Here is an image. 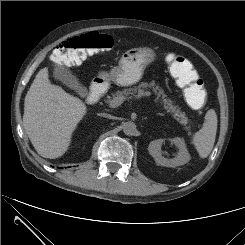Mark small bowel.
<instances>
[{"label":"small bowel","instance_id":"c3829d8e","mask_svg":"<svg viewBox=\"0 0 245 245\" xmlns=\"http://www.w3.org/2000/svg\"><path fill=\"white\" fill-rule=\"evenodd\" d=\"M170 56L171 55L168 56V60H169ZM184 59L186 61V64H185V67H184V70H183L184 74L185 75H191L194 78H198V75H197L196 71L194 70L192 64L186 58H184Z\"/></svg>","mask_w":245,"mask_h":245}]
</instances>
